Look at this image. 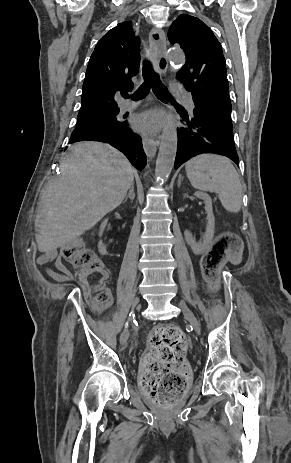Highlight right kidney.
<instances>
[{"label":"right kidney","mask_w":291,"mask_h":463,"mask_svg":"<svg viewBox=\"0 0 291 463\" xmlns=\"http://www.w3.org/2000/svg\"><path fill=\"white\" fill-rule=\"evenodd\" d=\"M108 219H105L100 225L99 236H102L103 231L107 225ZM98 250L100 253H106V246L100 241L98 244Z\"/></svg>","instance_id":"obj_1"}]
</instances>
